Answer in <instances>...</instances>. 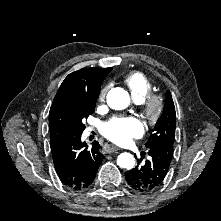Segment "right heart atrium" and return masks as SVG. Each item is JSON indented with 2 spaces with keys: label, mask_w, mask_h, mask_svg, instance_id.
<instances>
[{
  "label": "right heart atrium",
  "mask_w": 221,
  "mask_h": 221,
  "mask_svg": "<svg viewBox=\"0 0 221 221\" xmlns=\"http://www.w3.org/2000/svg\"><path fill=\"white\" fill-rule=\"evenodd\" d=\"M109 88H110L109 85H105V86H103V87L100 89V91H99V93H98V101H99L100 103L105 100V97H106V94H107Z\"/></svg>",
  "instance_id": "right-heart-atrium-1"
}]
</instances>
